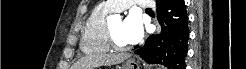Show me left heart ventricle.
Instances as JSON below:
<instances>
[{
    "instance_id": "obj_1",
    "label": "left heart ventricle",
    "mask_w": 246,
    "mask_h": 69,
    "mask_svg": "<svg viewBox=\"0 0 246 69\" xmlns=\"http://www.w3.org/2000/svg\"><path fill=\"white\" fill-rule=\"evenodd\" d=\"M112 34L116 40H118L119 43L122 45H129L125 38L124 34V28H123V22L122 21H116L110 24Z\"/></svg>"
}]
</instances>
